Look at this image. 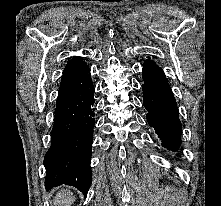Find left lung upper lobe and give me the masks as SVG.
<instances>
[{
    "label": "left lung upper lobe",
    "mask_w": 221,
    "mask_h": 206,
    "mask_svg": "<svg viewBox=\"0 0 221 206\" xmlns=\"http://www.w3.org/2000/svg\"><path fill=\"white\" fill-rule=\"evenodd\" d=\"M144 68H150V69H160L158 65H156L155 62L152 60H146L144 62Z\"/></svg>",
    "instance_id": "1"
}]
</instances>
